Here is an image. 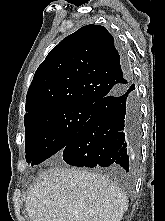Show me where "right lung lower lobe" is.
Instances as JSON below:
<instances>
[{
  "label": "right lung lower lobe",
  "mask_w": 165,
  "mask_h": 221,
  "mask_svg": "<svg viewBox=\"0 0 165 221\" xmlns=\"http://www.w3.org/2000/svg\"><path fill=\"white\" fill-rule=\"evenodd\" d=\"M141 135V115L135 86L119 87L93 104L91 116L62 150L72 166H120L132 170L129 157Z\"/></svg>",
  "instance_id": "right-lung-lower-lobe-1"
}]
</instances>
